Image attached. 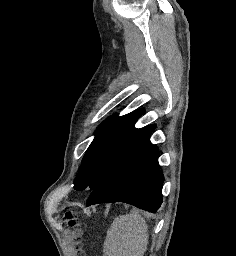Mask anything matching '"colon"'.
<instances>
[{
    "mask_svg": "<svg viewBox=\"0 0 236 256\" xmlns=\"http://www.w3.org/2000/svg\"><path fill=\"white\" fill-rule=\"evenodd\" d=\"M76 208L69 207L66 209L63 213L62 220L64 223L70 228V229H75L77 226L76 222ZM78 256H83V252L81 249H78Z\"/></svg>",
    "mask_w": 236,
    "mask_h": 256,
    "instance_id": "1",
    "label": "colon"
}]
</instances>
